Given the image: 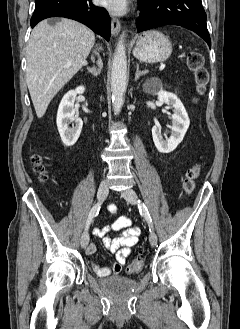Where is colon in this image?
<instances>
[{"mask_svg": "<svg viewBox=\"0 0 240 329\" xmlns=\"http://www.w3.org/2000/svg\"><path fill=\"white\" fill-rule=\"evenodd\" d=\"M187 65L194 75L196 90L199 94H201L204 91L205 86L209 79L208 71L203 65L202 55L197 51L189 52L187 56ZM32 163L34 165L35 171L39 175V179L44 180L46 178V175L44 172L42 157L40 155L33 156ZM199 173H200V169L198 166H193L187 170L183 182V188L185 192L191 193L193 191L195 187V181L198 178ZM142 265H143L142 257H136L129 263L127 267V272L137 273L141 270Z\"/></svg>", "mask_w": 240, "mask_h": 329, "instance_id": "colon-1", "label": "colon"}]
</instances>
